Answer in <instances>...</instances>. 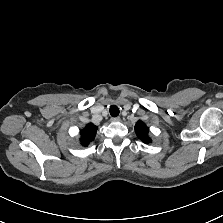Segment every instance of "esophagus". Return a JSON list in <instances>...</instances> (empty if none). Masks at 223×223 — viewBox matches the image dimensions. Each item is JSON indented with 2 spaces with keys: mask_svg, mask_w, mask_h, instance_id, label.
I'll return each instance as SVG.
<instances>
[{
  "mask_svg": "<svg viewBox=\"0 0 223 223\" xmlns=\"http://www.w3.org/2000/svg\"><path fill=\"white\" fill-rule=\"evenodd\" d=\"M120 121V117H112L111 122L116 123Z\"/></svg>",
  "mask_w": 223,
  "mask_h": 223,
  "instance_id": "1",
  "label": "esophagus"
}]
</instances>
